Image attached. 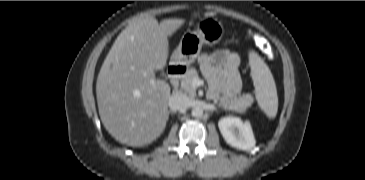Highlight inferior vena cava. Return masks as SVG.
<instances>
[{"label": "inferior vena cava", "mask_w": 365, "mask_h": 180, "mask_svg": "<svg viewBox=\"0 0 365 180\" xmlns=\"http://www.w3.org/2000/svg\"><path fill=\"white\" fill-rule=\"evenodd\" d=\"M170 110L173 112L184 110L190 105L189 98L181 93H174L168 100Z\"/></svg>", "instance_id": "obj_1"}]
</instances>
